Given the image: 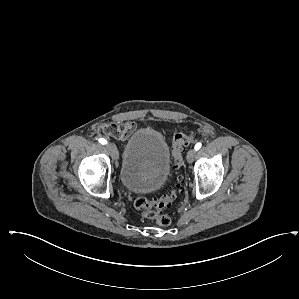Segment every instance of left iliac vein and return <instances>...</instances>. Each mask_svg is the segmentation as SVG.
I'll return each mask as SVG.
<instances>
[{
  "instance_id": "left-iliac-vein-1",
  "label": "left iliac vein",
  "mask_w": 299,
  "mask_h": 299,
  "mask_svg": "<svg viewBox=\"0 0 299 299\" xmlns=\"http://www.w3.org/2000/svg\"><path fill=\"white\" fill-rule=\"evenodd\" d=\"M195 155H196L195 149H190L188 151L187 156H186L188 163H192L194 161Z\"/></svg>"
}]
</instances>
